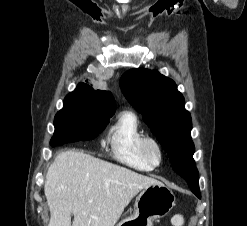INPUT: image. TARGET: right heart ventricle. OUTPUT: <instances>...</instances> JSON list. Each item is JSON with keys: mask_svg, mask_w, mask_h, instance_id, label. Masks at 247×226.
I'll use <instances>...</instances> for the list:
<instances>
[{"mask_svg": "<svg viewBox=\"0 0 247 226\" xmlns=\"http://www.w3.org/2000/svg\"><path fill=\"white\" fill-rule=\"evenodd\" d=\"M144 137L137 116L131 111L122 112L110 129V148L115 159L140 171L152 170L142 157L140 142Z\"/></svg>", "mask_w": 247, "mask_h": 226, "instance_id": "1", "label": "right heart ventricle"}]
</instances>
